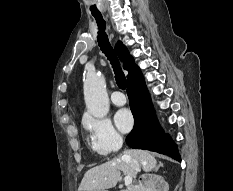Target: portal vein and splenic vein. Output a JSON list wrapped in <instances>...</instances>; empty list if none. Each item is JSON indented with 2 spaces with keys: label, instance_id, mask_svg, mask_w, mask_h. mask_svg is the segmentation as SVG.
<instances>
[{
  "label": "portal vein and splenic vein",
  "instance_id": "18ae733b",
  "mask_svg": "<svg viewBox=\"0 0 233 191\" xmlns=\"http://www.w3.org/2000/svg\"><path fill=\"white\" fill-rule=\"evenodd\" d=\"M125 185L129 186L132 184V177L131 176H125L124 178Z\"/></svg>",
  "mask_w": 233,
  "mask_h": 191
}]
</instances>
